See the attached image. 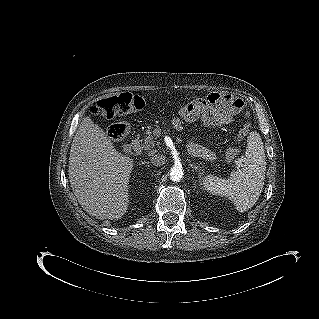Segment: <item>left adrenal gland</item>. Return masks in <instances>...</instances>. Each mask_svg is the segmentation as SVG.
<instances>
[{
  "mask_svg": "<svg viewBox=\"0 0 319 319\" xmlns=\"http://www.w3.org/2000/svg\"><path fill=\"white\" fill-rule=\"evenodd\" d=\"M190 167L193 168L195 171H197L199 169V166H196L195 164L190 162Z\"/></svg>",
  "mask_w": 319,
  "mask_h": 319,
  "instance_id": "a2214340",
  "label": "left adrenal gland"
}]
</instances>
